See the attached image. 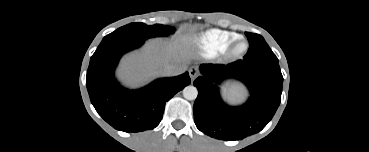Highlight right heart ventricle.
Masks as SVG:
<instances>
[{"label": "right heart ventricle", "mask_w": 369, "mask_h": 152, "mask_svg": "<svg viewBox=\"0 0 369 152\" xmlns=\"http://www.w3.org/2000/svg\"><path fill=\"white\" fill-rule=\"evenodd\" d=\"M238 37L234 32L210 29L201 34L200 47L205 56H214L227 49Z\"/></svg>", "instance_id": "right-heart-ventricle-1"}]
</instances>
